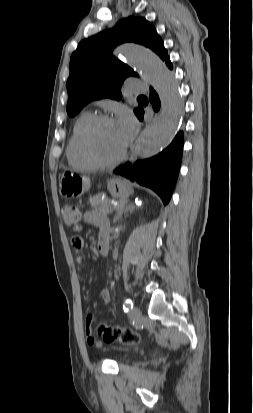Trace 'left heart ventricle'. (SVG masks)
Listing matches in <instances>:
<instances>
[{
  "mask_svg": "<svg viewBox=\"0 0 253 413\" xmlns=\"http://www.w3.org/2000/svg\"><path fill=\"white\" fill-rule=\"evenodd\" d=\"M91 145L95 154L105 160L116 158L125 147L115 122L99 124L91 134Z\"/></svg>",
  "mask_w": 253,
  "mask_h": 413,
  "instance_id": "b2bd125f",
  "label": "left heart ventricle"
}]
</instances>
